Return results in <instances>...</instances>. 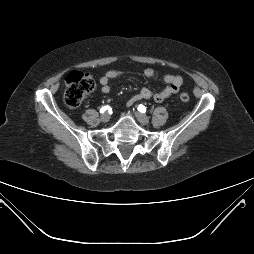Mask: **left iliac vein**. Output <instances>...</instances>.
Wrapping results in <instances>:
<instances>
[{
    "mask_svg": "<svg viewBox=\"0 0 254 254\" xmlns=\"http://www.w3.org/2000/svg\"><path fill=\"white\" fill-rule=\"evenodd\" d=\"M133 112H134L136 118L138 119V121H139L141 124H143V125H148V124H149V121H150V120H149L148 116H146L145 114H142V113H140V112H138V111H134V110H133Z\"/></svg>",
    "mask_w": 254,
    "mask_h": 254,
    "instance_id": "left-iliac-vein-1",
    "label": "left iliac vein"
}]
</instances>
